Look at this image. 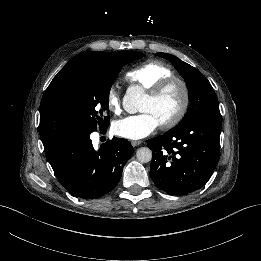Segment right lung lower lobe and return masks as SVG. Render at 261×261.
I'll use <instances>...</instances> for the list:
<instances>
[{
  "label": "right lung lower lobe",
  "instance_id": "1",
  "mask_svg": "<svg viewBox=\"0 0 261 261\" xmlns=\"http://www.w3.org/2000/svg\"><path fill=\"white\" fill-rule=\"evenodd\" d=\"M90 134L66 135L45 150L60 184L83 199H95L112 191L134 151L126 139L118 138L107 140L96 151Z\"/></svg>",
  "mask_w": 261,
  "mask_h": 261
}]
</instances>
